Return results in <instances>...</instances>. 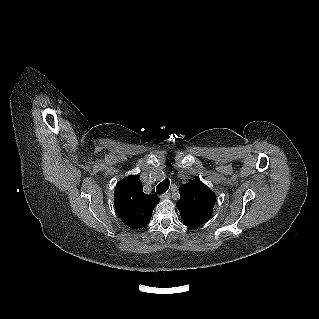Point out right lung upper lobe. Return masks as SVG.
I'll list each match as a JSON object with an SVG mask.
<instances>
[{"mask_svg": "<svg viewBox=\"0 0 319 319\" xmlns=\"http://www.w3.org/2000/svg\"><path fill=\"white\" fill-rule=\"evenodd\" d=\"M159 199L156 195L143 192L138 176H129L121 180L115 188V209L122 221L133 229L145 227L151 219L154 207Z\"/></svg>", "mask_w": 319, "mask_h": 319, "instance_id": "cb5924a9", "label": "right lung upper lobe"}]
</instances>
